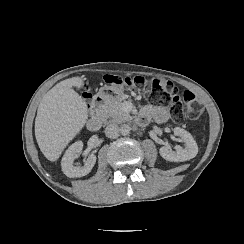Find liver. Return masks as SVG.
<instances>
[{"mask_svg":"<svg viewBox=\"0 0 244 244\" xmlns=\"http://www.w3.org/2000/svg\"><path fill=\"white\" fill-rule=\"evenodd\" d=\"M88 78L74 76L58 82L43 96L37 107L34 132L41 153L57 162L67 146L89 121V109L74 90L82 89Z\"/></svg>","mask_w":244,"mask_h":244,"instance_id":"obj_1","label":"liver"}]
</instances>
